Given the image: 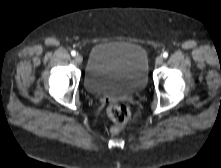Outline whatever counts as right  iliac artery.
I'll use <instances>...</instances> for the list:
<instances>
[{
    "label": "right iliac artery",
    "instance_id": "82829eb1",
    "mask_svg": "<svg viewBox=\"0 0 221 168\" xmlns=\"http://www.w3.org/2000/svg\"><path fill=\"white\" fill-rule=\"evenodd\" d=\"M71 55L72 56H75L76 55V52L73 50V51H71Z\"/></svg>",
    "mask_w": 221,
    "mask_h": 168
}]
</instances>
